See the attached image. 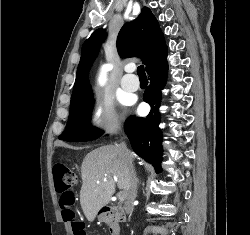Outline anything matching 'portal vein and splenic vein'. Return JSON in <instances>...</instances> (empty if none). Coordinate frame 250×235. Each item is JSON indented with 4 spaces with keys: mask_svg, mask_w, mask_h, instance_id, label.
<instances>
[{
    "mask_svg": "<svg viewBox=\"0 0 250 235\" xmlns=\"http://www.w3.org/2000/svg\"><path fill=\"white\" fill-rule=\"evenodd\" d=\"M124 198H125V192L121 191V192L119 193V200H120V201H123Z\"/></svg>",
    "mask_w": 250,
    "mask_h": 235,
    "instance_id": "obj_1",
    "label": "portal vein and splenic vein"
}]
</instances>
